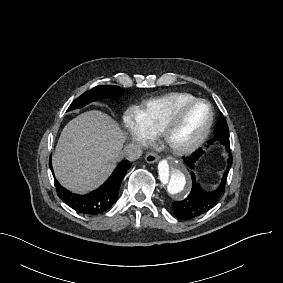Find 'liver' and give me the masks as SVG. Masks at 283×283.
<instances>
[{"label": "liver", "instance_id": "obj_1", "mask_svg": "<svg viewBox=\"0 0 283 283\" xmlns=\"http://www.w3.org/2000/svg\"><path fill=\"white\" fill-rule=\"evenodd\" d=\"M124 140L117 123L104 113L91 111L71 120L53 156L56 178L79 193L98 187L119 161Z\"/></svg>", "mask_w": 283, "mask_h": 283}]
</instances>
